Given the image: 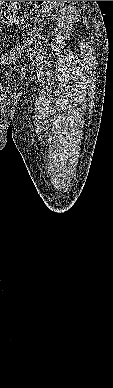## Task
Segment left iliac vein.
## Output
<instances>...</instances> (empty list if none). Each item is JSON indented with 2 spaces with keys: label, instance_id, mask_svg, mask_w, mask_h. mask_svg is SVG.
I'll return each mask as SVG.
<instances>
[{
  "label": "left iliac vein",
  "instance_id": "left-iliac-vein-1",
  "mask_svg": "<svg viewBox=\"0 0 113 388\" xmlns=\"http://www.w3.org/2000/svg\"><path fill=\"white\" fill-rule=\"evenodd\" d=\"M30 51H31V55H35L32 49Z\"/></svg>",
  "mask_w": 113,
  "mask_h": 388
}]
</instances>
